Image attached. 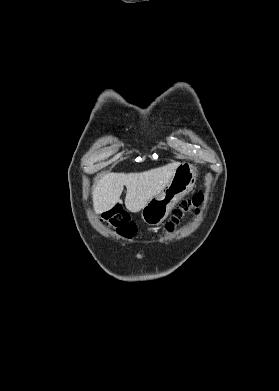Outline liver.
<instances>
[{
  "instance_id": "6515ba94",
  "label": "liver",
  "mask_w": 279,
  "mask_h": 391,
  "mask_svg": "<svg viewBox=\"0 0 279 391\" xmlns=\"http://www.w3.org/2000/svg\"><path fill=\"white\" fill-rule=\"evenodd\" d=\"M179 165L180 162H172L141 173L105 174L93 189L95 211L101 213L110 210L120 201L126 186L125 206L130 212H139L166 187Z\"/></svg>"
}]
</instances>
